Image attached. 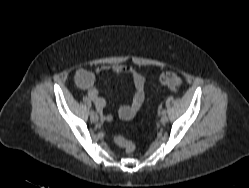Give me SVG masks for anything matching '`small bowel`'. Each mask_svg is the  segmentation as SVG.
I'll return each mask as SVG.
<instances>
[{
  "label": "small bowel",
  "mask_w": 249,
  "mask_h": 188,
  "mask_svg": "<svg viewBox=\"0 0 249 188\" xmlns=\"http://www.w3.org/2000/svg\"><path fill=\"white\" fill-rule=\"evenodd\" d=\"M109 70H112L117 76H129L133 81L135 90L132 95L131 104H123L119 108V116L122 119H131L142 107L145 100L146 73L144 71L130 65H114L112 67L103 65L98 67L95 72L83 69L78 70L76 73V83L79 88L87 92L89 99L93 102L97 112L101 115V119L111 121V115L103 114L106 102L98 95V90L94 85L96 76H101Z\"/></svg>",
  "instance_id": "c3829d8e"
}]
</instances>
